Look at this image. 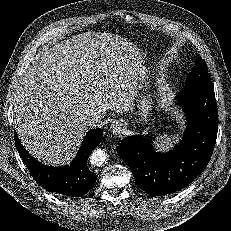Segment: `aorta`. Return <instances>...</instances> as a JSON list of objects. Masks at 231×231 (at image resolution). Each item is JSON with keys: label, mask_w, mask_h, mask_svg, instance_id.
I'll return each mask as SVG.
<instances>
[{"label": "aorta", "mask_w": 231, "mask_h": 231, "mask_svg": "<svg viewBox=\"0 0 231 231\" xmlns=\"http://www.w3.org/2000/svg\"><path fill=\"white\" fill-rule=\"evenodd\" d=\"M107 153L102 149L94 150L90 156V162L94 166H102L107 161Z\"/></svg>", "instance_id": "762f6f07"}]
</instances>
